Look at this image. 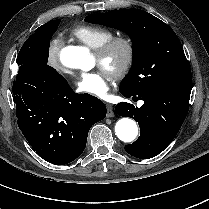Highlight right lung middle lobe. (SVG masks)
I'll use <instances>...</instances> for the list:
<instances>
[{
	"mask_svg": "<svg viewBox=\"0 0 209 209\" xmlns=\"http://www.w3.org/2000/svg\"><path fill=\"white\" fill-rule=\"evenodd\" d=\"M60 20H54L53 24L43 30H36L23 44L18 57V65H31L36 67H48L49 41L56 31Z\"/></svg>",
	"mask_w": 209,
	"mask_h": 209,
	"instance_id": "obj_1",
	"label": "right lung middle lobe"
}]
</instances>
